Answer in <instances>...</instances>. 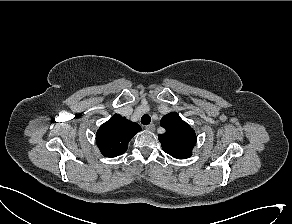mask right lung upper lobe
<instances>
[{
  "label": "right lung upper lobe",
  "mask_w": 292,
  "mask_h": 224,
  "mask_svg": "<svg viewBox=\"0 0 292 224\" xmlns=\"http://www.w3.org/2000/svg\"><path fill=\"white\" fill-rule=\"evenodd\" d=\"M139 131L141 127L137 123L115 114L98 129L97 146L106 157L119 156L127 150L129 141Z\"/></svg>",
  "instance_id": "right-lung-upper-lobe-1"
}]
</instances>
